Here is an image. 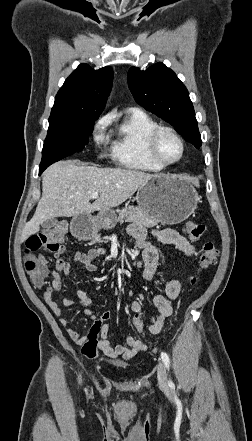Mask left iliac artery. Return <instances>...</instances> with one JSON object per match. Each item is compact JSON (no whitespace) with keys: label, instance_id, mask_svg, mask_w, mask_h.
<instances>
[{"label":"left iliac artery","instance_id":"44dca946","mask_svg":"<svg viewBox=\"0 0 252 441\" xmlns=\"http://www.w3.org/2000/svg\"><path fill=\"white\" fill-rule=\"evenodd\" d=\"M161 358H162V361L164 362L165 367L167 369H169L170 359H169V356L167 355V353L161 352ZM169 384H172V382L169 381Z\"/></svg>","mask_w":252,"mask_h":441}]
</instances>
